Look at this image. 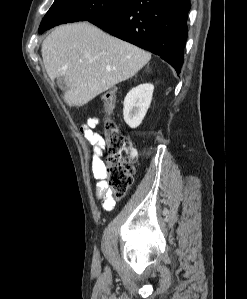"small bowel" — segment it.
I'll return each instance as SVG.
<instances>
[{"label":"small bowel","mask_w":247,"mask_h":299,"mask_svg":"<svg viewBox=\"0 0 247 299\" xmlns=\"http://www.w3.org/2000/svg\"><path fill=\"white\" fill-rule=\"evenodd\" d=\"M98 122L99 119L96 117L88 118L87 122L81 127V133L85 140L93 146L91 168L94 177L98 180L95 197L101 201L105 211H111L115 205V199L103 180V161L101 156L103 155L104 139L94 130Z\"/></svg>","instance_id":"small-bowel-1"}]
</instances>
